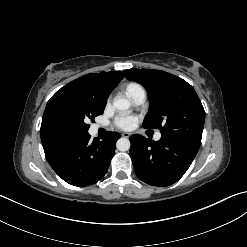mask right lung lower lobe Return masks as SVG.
<instances>
[{"instance_id": "98d812e1", "label": "right lung lower lobe", "mask_w": 247, "mask_h": 247, "mask_svg": "<svg viewBox=\"0 0 247 247\" xmlns=\"http://www.w3.org/2000/svg\"><path fill=\"white\" fill-rule=\"evenodd\" d=\"M90 137L86 134L43 147L50 166L71 185H91L106 174L120 134L107 133L101 140H90Z\"/></svg>"}]
</instances>
